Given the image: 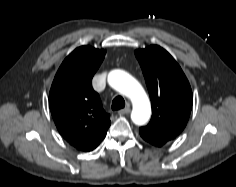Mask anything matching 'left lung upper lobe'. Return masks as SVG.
<instances>
[{
    "instance_id": "obj_1",
    "label": "left lung upper lobe",
    "mask_w": 236,
    "mask_h": 187,
    "mask_svg": "<svg viewBox=\"0 0 236 187\" xmlns=\"http://www.w3.org/2000/svg\"><path fill=\"white\" fill-rule=\"evenodd\" d=\"M142 68L152 104L148 125L140 127L141 137L161 147L185 128L193 104L190 84L174 58L152 45L135 51Z\"/></svg>"
}]
</instances>
